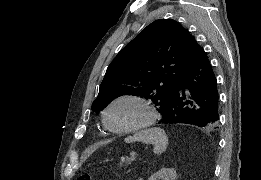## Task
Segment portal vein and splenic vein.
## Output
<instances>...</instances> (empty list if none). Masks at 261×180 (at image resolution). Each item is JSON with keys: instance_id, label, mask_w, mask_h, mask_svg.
<instances>
[{"instance_id": "portal-vein-and-splenic-vein-1", "label": "portal vein and splenic vein", "mask_w": 261, "mask_h": 180, "mask_svg": "<svg viewBox=\"0 0 261 180\" xmlns=\"http://www.w3.org/2000/svg\"><path fill=\"white\" fill-rule=\"evenodd\" d=\"M130 160L131 161H136L137 160V154H134V152H131V154H130Z\"/></svg>"}]
</instances>
